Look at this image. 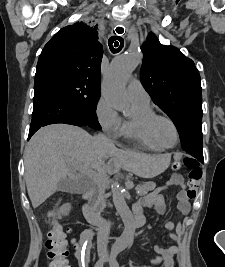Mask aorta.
Listing matches in <instances>:
<instances>
[{
	"label": "aorta",
	"instance_id": "aorta-1",
	"mask_svg": "<svg viewBox=\"0 0 225 267\" xmlns=\"http://www.w3.org/2000/svg\"><path fill=\"white\" fill-rule=\"evenodd\" d=\"M141 61V54L138 51H130L127 54L117 56L111 63L106 74L102 94L105 100L114 108L124 111L128 108L129 102L126 96V83ZM113 203L124 223V231L114 244L116 250L125 249L133 240L135 226L133 215L125 201L123 189L115 184L112 193Z\"/></svg>",
	"mask_w": 225,
	"mask_h": 267
}]
</instances>
